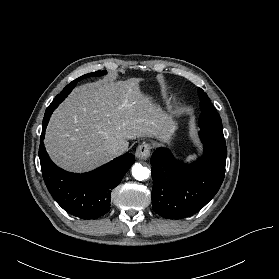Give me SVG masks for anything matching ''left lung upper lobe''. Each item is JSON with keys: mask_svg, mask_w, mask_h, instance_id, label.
<instances>
[{"mask_svg": "<svg viewBox=\"0 0 279 279\" xmlns=\"http://www.w3.org/2000/svg\"><path fill=\"white\" fill-rule=\"evenodd\" d=\"M198 93L200 97L201 108V114L199 118L200 130L215 138L225 141L222 121L219 114L211 104L207 94L200 88L198 89Z\"/></svg>", "mask_w": 279, "mask_h": 279, "instance_id": "obj_1", "label": "left lung upper lobe"}]
</instances>
